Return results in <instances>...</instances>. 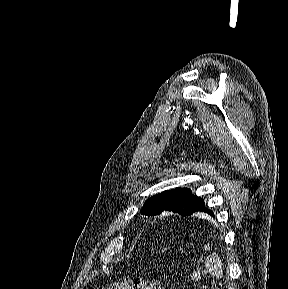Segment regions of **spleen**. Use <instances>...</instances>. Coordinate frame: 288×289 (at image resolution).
Masks as SVG:
<instances>
[{
  "instance_id": "obj_1",
  "label": "spleen",
  "mask_w": 288,
  "mask_h": 289,
  "mask_svg": "<svg viewBox=\"0 0 288 289\" xmlns=\"http://www.w3.org/2000/svg\"><path fill=\"white\" fill-rule=\"evenodd\" d=\"M205 266L214 277H222V264L216 253H212L206 258Z\"/></svg>"
}]
</instances>
